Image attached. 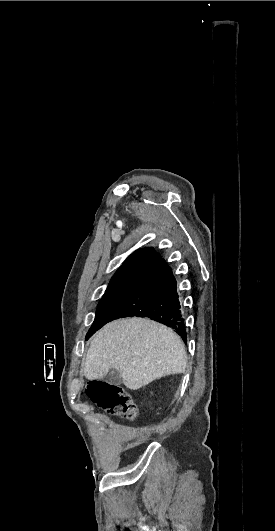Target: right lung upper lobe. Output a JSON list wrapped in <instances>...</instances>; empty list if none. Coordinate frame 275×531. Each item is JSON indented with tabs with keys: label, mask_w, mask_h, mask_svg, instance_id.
I'll use <instances>...</instances> for the list:
<instances>
[{
	"label": "right lung upper lobe",
	"mask_w": 275,
	"mask_h": 531,
	"mask_svg": "<svg viewBox=\"0 0 275 531\" xmlns=\"http://www.w3.org/2000/svg\"><path fill=\"white\" fill-rule=\"evenodd\" d=\"M158 257H160L152 248H143L134 251L123 263L116 273L131 271V270H145ZM115 273V274H116Z\"/></svg>",
	"instance_id": "obj_1"
}]
</instances>
